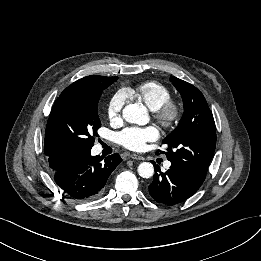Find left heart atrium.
I'll list each match as a JSON object with an SVG mask.
<instances>
[{
	"label": "left heart atrium",
	"mask_w": 261,
	"mask_h": 261,
	"mask_svg": "<svg viewBox=\"0 0 261 261\" xmlns=\"http://www.w3.org/2000/svg\"><path fill=\"white\" fill-rule=\"evenodd\" d=\"M158 138L159 131L154 126H132L117 134L119 144L132 151H141L148 142L156 141Z\"/></svg>",
	"instance_id": "1"
}]
</instances>
